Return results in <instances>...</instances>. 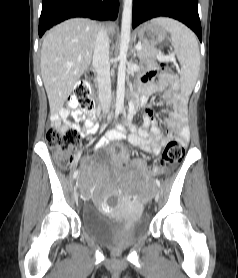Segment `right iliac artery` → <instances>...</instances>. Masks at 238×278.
Listing matches in <instances>:
<instances>
[{
  "label": "right iliac artery",
  "instance_id": "obj_1",
  "mask_svg": "<svg viewBox=\"0 0 238 278\" xmlns=\"http://www.w3.org/2000/svg\"><path fill=\"white\" fill-rule=\"evenodd\" d=\"M115 118H117V114L115 115ZM77 175H78V170H76V171L74 172L73 177L76 178Z\"/></svg>",
  "mask_w": 238,
  "mask_h": 278
}]
</instances>
